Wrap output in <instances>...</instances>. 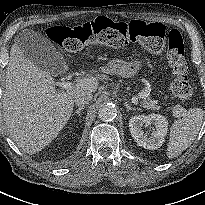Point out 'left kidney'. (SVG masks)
I'll return each mask as SVG.
<instances>
[{
	"instance_id": "1",
	"label": "left kidney",
	"mask_w": 205,
	"mask_h": 205,
	"mask_svg": "<svg viewBox=\"0 0 205 205\" xmlns=\"http://www.w3.org/2000/svg\"><path fill=\"white\" fill-rule=\"evenodd\" d=\"M150 125L155 126V131L148 138L144 134L142 127ZM129 128L138 146L155 150L160 148L164 142V137L168 130V121L164 116L158 114H151L149 116L136 115L129 120Z\"/></svg>"
}]
</instances>
